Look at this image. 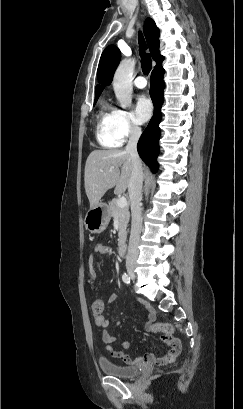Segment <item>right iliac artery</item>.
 <instances>
[{"label": "right iliac artery", "mask_w": 243, "mask_h": 409, "mask_svg": "<svg viewBox=\"0 0 243 409\" xmlns=\"http://www.w3.org/2000/svg\"><path fill=\"white\" fill-rule=\"evenodd\" d=\"M122 280H123L124 283L130 284V277H129L128 274L124 273V274L122 275Z\"/></svg>", "instance_id": "1"}]
</instances>
